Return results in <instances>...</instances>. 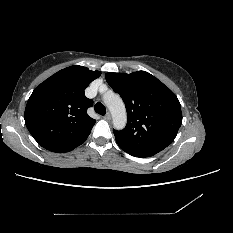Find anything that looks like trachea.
<instances>
[{
  "instance_id": "3493384b",
  "label": "trachea",
  "mask_w": 233,
  "mask_h": 233,
  "mask_svg": "<svg viewBox=\"0 0 233 233\" xmlns=\"http://www.w3.org/2000/svg\"><path fill=\"white\" fill-rule=\"evenodd\" d=\"M94 110H95L96 113H98V114H100V115H105V114H106V108H105V106H104L102 103H100V102H98V103L95 104Z\"/></svg>"
}]
</instances>
